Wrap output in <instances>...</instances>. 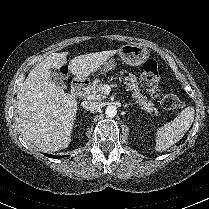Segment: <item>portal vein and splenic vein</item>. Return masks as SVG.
<instances>
[{
    "label": "portal vein and splenic vein",
    "instance_id": "portal-vein-and-splenic-vein-1",
    "mask_svg": "<svg viewBox=\"0 0 209 209\" xmlns=\"http://www.w3.org/2000/svg\"><path fill=\"white\" fill-rule=\"evenodd\" d=\"M111 91V87L107 84H104L102 87V92H104L105 94H109Z\"/></svg>",
    "mask_w": 209,
    "mask_h": 209
}]
</instances>
